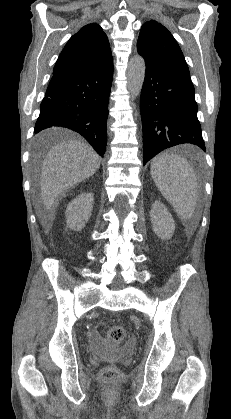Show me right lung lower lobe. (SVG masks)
Returning <instances> with one entry per match:
<instances>
[{
  "label": "right lung lower lobe",
  "mask_w": 231,
  "mask_h": 419,
  "mask_svg": "<svg viewBox=\"0 0 231 419\" xmlns=\"http://www.w3.org/2000/svg\"><path fill=\"white\" fill-rule=\"evenodd\" d=\"M113 62L96 70L53 74L34 133L53 126L81 134L103 156Z\"/></svg>",
  "instance_id": "1"
}]
</instances>
